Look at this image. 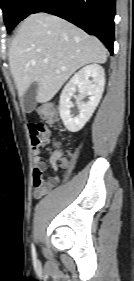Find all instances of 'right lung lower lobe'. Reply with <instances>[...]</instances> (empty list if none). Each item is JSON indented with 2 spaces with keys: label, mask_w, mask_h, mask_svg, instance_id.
I'll list each match as a JSON object with an SVG mask.
<instances>
[{
  "label": "right lung lower lobe",
  "mask_w": 134,
  "mask_h": 281,
  "mask_svg": "<svg viewBox=\"0 0 134 281\" xmlns=\"http://www.w3.org/2000/svg\"><path fill=\"white\" fill-rule=\"evenodd\" d=\"M66 19L97 36L113 54L115 0H34L26 11Z\"/></svg>",
  "instance_id": "obj_1"
}]
</instances>
